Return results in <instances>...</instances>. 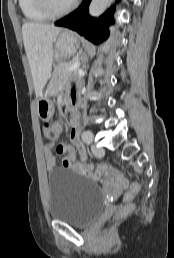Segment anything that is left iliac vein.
I'll list each match as a JSON object with an SVG mask.
<instances>
[{"instance_id": "obj_1", "label": "left iliac vein", "mask_w": 174, "mask_h": 258, "mask_svg": "<svg viewBox=\"0 0 174 258\" xmlns=\"http://www.w3.org/2000/svg\"><path fill=\"white\" fill-rule=\"evenodd\" d=\"M92 152L97 157H102L104 155V149L97 146H92Z\"/></svg>"}]
</instances>
